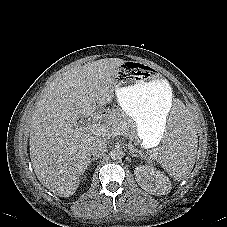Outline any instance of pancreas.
Listing matches in <instances>:
<instances>
[{
	"label": "pancreas",
	"mask_w": 227,
	"mask_h": 227,
	"mask_svg": "<svg viewBox=\"0 0 227 227\" xmlns=\"http://www.w3.org/2000/svg\"><path fill=\"white\" fill-rule=\"evenodd\" d=\"M104 126L110 131L119 133V135H124L130 139L134 137L135 125L121 110L110 111L105 117Z\"/></svg>",
	"instance_id": "obj_1"
}]
</instances>
